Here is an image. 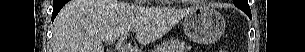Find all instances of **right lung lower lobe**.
Masks as SVG:
<instances>
[{"label":"right lung lower lobe","mask_w":305,"mask_h":52,"mask_svg":"<svg viewBox=\"0 0 305 52\" xmlns=\"http://www.w3.org/2000/svg\"><path fill=\"white\" fill-rule=\"evenodd\" d=\"M68 2V0H54L53 2V13H52V21L55 19L56 15L60 11V9Z\"/></svg>","instance_id":"obj_1"}]
</instances>
